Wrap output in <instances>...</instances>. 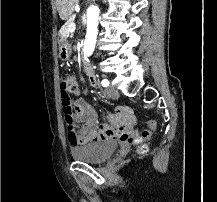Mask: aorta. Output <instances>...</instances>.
<instances>
[{"label":"aorta","mask_w":217,"mask_h":202,"mask_svg":"<svg viewBox=\"0 0 217 202\" xmlns=\"http://www.w3.org/2000/svg\"><path fill=\"white\" fill-rule=\"evenodd\" d=\"M99 12L100 10L97 6H90L87 10V32L83 50L85 56H92L94 52L98 34Z\"/></svg>","instance_id":"aorta-1"}]
</instances>
